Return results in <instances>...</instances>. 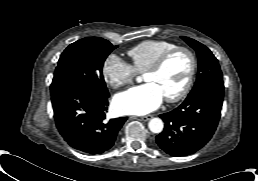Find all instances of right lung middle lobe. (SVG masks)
I'll return each instance as SVG.
<instances>
[{
    "label": "right lung middle lobe",
    "instance_id": "1",
    "mask_svg": "<svg viewBox=\"0 0 258 181\" xmlns=\"http://www.w3.org/2000/svg\"><path fill=\"white\" fill-rule=\"evenodd\" d=\"M117 48L99 37H87L70 44L60 56L52 83H70L98 98H108L102 67Z\"/></svg>",
    "mask_w": 258,
    "mask_h": 181
}]
</instances>
